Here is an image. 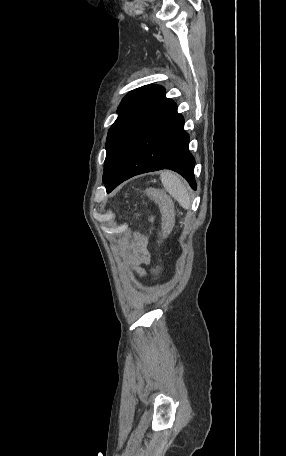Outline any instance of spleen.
Masks as SVG:
<instances>
[{"mask_svg":"<svg viewBox=\"0 0 286 456\" xmlns=\"http://www.w3.org/2000/svg\"><path fill=\"white\" fill-rule=\"evenodd\" d=\"M162 184L166 191L186 210L191 206V199L186 182L172 171L160 173Z\"/></svg>","mask_w":286,"mask_h":456,"instance_id":"spleen-1","label":"spleen"}]
</instances>
